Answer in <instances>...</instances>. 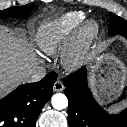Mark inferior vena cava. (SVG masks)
I'll use <instances>...</instances> for the list:
<instances>
[{
  "instance_id": "1",
  "label": "inferior vena cava",
  "mask_w": 127,
  "mask_h": 127,
  "mask_svg": "<svg viewBox=\"0 0 127 127\" xmlns=\"http://www.w3.org/2000/svg\"><path fill=\"white\" fill-rule=\"evenodd\" d=\"M46 75V69L43 66H34L27 74L29 82H38Z\"/></svg>"
}]
</instances>
